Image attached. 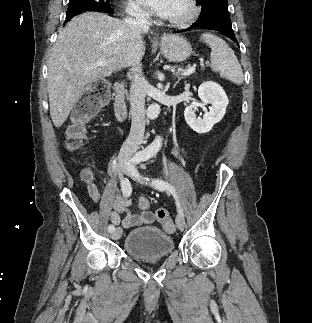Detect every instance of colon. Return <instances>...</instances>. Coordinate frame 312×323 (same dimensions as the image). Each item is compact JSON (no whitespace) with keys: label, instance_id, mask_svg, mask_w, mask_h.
Instances as JSON below:
<instances>
[{"label":"colon","instance_id":"obj_1","mask_svg":"<svg viewBox=\"0 0 312 323\" xmlns=\"http://www.w3.org/2000/svg\"><path fill=\"white\" fill-rule=\"evenodd\" d=\"M109 82L105 77L92 80L82 93L81 109L73 114V122L67 130V146L71 149L81 147L87 140L86 125L90 117L102 106L109 102ZM140 209L147 210L150 202L141 198L138 202ZM157 219L162 229L168 234L176 231V226L162 206L157 208Z\"/></svg>","mask_w":312,"mask_h":323}]
</instances>
